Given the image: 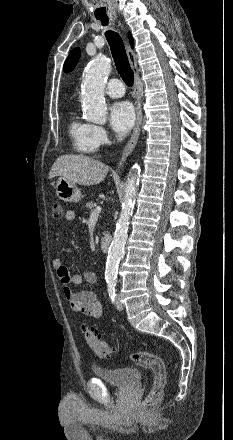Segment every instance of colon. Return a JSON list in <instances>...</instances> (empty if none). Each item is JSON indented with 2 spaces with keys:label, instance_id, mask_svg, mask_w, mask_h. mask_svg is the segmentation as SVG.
Returning <instances> with one entry per match:
<instances>
[{
  "label": "colon",
  "instance_id": "5ec220e1",
  "mask_svg": "<svg viewBox=\"0 0 233 440\" xmlns=\"http://www.w3.org/2000/svg\"><path fill=\"white\" fill-rule=\"evenodd\" d=\"M63 214V208L60 204L53 207V217L60 218ZM82 333L85 341L89 344L94 354L101 359H110L112 350L108 343L101 339L98 331L91 325L84 324ZM131 360L147 369L153 371L154 384L148 396L141 404L143 412H150L155 409L163 398V391L166 383V370L163 360L149 352L135 351L131 354Z\"/></svg>",
  "mask_w": 233,
  "mask_h": 440
}]
</instances>
